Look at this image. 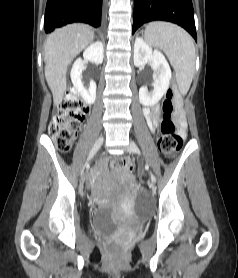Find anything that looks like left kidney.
<instances>
[{
  "mask_svg": "<svg viewBox=\"0 0 238 278\" xmlns=\"http://www.w3.org/2000/svg\"><path fill=\"white\" fill-rule=\"evenodd\" d=\"M150 63L154 71L153 91L149 92L147 87L139 89V101L144 106L157 104L167 92L171 79V69L165 56L158 50H153L142 38L138 37L134 44V64L144 67Z\"/></svg>",
  "mask_w": 238,
  "mask_h": 278,
  "instance_id": "obj_1",
  "label": "left kidney"
}]
</instances>
